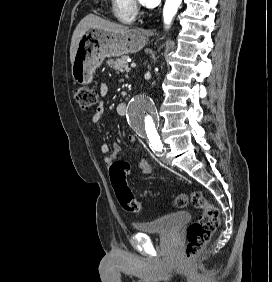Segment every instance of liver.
<instances>
[{"mask_svg":"<svg viewBox=\"0 0 272 282\" xmlns=\"http://www.w3.org/2000/svg\"><path fill=\"white\" fill-rule=\"evenodd\" d=\"M89 29H102L105 31L119 33V32H124L126 30H129V27L122 25V24L108 21L106 19H103L93 14L87 15L79 22L76 29L74 30V33L71 39V46H70L71 63H73L74 61L76 50H77V45H78V42L81 36Z\"/></svg>","mask_w":272,"mask_h":282,"instance_id":"liver-1","label":"liver"}]
</instances>
